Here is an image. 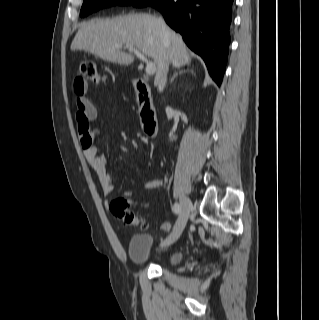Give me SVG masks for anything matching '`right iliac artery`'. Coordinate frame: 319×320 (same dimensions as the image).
Segmentation results:
<instances>
[{
  "mask_svg": "<svg viewBox=\"0 0 319 320\" xmlns=\"http://www.w3.org/2000/svg\"><path fill=\"white\" fill-rule=\"evenodd\" d=\"M172 210H173V212L175 213V214H180V212H181V207H180V205L178 204V203H175L174 205H173V207H172Z\"/></svg>",
  "mask_w": 319,
  "mask_h": 320,
  "instance_id": "1",
  "label": "right iliac artery"
}]
</instances>
